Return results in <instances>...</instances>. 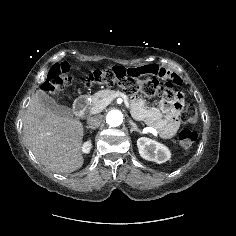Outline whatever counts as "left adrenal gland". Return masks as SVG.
Masks as SVG:
<instances>
[{
    "instance_id": "1",
    "label": "left adrenal gland",
    "mask_w": 236,
    "mask_h": 236,
    "mask_svg": "<svg viewBox=\"0 0 236 236\" xmlns=\"http://www.w3.org/2000/svg\"><path fill=\"white\" fill-rule=\"evenodd\" d=\"M129 124L131 125L130 132L136 131L141 133L140 129H138L137 125L131 119H129Z\"/></svg>"
}]
</instances>
